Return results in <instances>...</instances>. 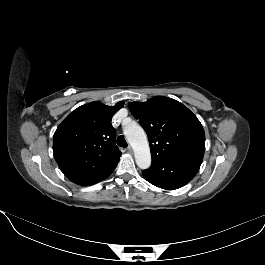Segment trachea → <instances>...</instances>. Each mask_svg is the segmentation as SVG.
<instances>
[{
    "label": "trachea",
    "mask_w": 265,
    "mask_h": 265,
    "mask_svg": "<svg viewBox=\"0 0 265 265\" xmlns=\"http://www.w3.org/2000/svg\"><path fill=\"white\" fill-rule=\"evenodd\" d=\"M117 144L120 146V147H123V148H126L128 146L125 138L123 136H119L117 138Z\"/></svg>",
    "instance_id": "obj_1"
}]
</instances>
